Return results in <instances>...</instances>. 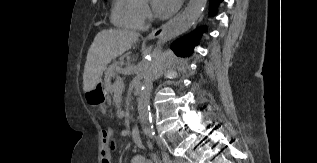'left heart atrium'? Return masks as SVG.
Returning a JSON list of instances; mask_svg holds the SVG:
<instances>
[{"mask_svg": "<svg viewBox=\"0 0 317 163\" xmlns=\"http://www.w3.org/2000/svg\"><path fill=\"white\" fill-rule=\"evenodd\" d=\"M182 0H154L156 11L162 15H169L178 9Z\"/></svg>", "mask_w": 317, "mask_h": 163, "instance_id": "obj_1", "label": "left heart atrium"}]
</instances>
